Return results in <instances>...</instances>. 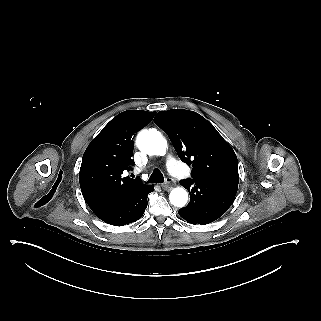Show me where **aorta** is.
Returning <instances> with one entry per match:
<instances>
[{
    "label": "aorta",
    "mask_w": 321,
    "mask_h": 321,
    "mask_svg": "<svg viewBox=\"0 0 321 321\" xmlns=\"http://www.w3.org/2000/svg\"><path fill=\"white\" fill-rule=\"evenodd\" d=\"M138 148L145 154L163 156L166 153L167 141L156 129L142 130L136 138ZM169 200L175 207H184L188 201V193L182 187L174 188Z\"/></svg>",
    "instance_id": "aorta-1"
}]
</instances>
